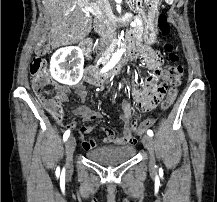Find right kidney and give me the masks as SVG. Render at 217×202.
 Returning a JSON list of instances; mask_svg holds the SVG:
<instances>
[{
  "label": "right kidney",
  "mask_w": 217,
  "mask_h": 202,
  "mask_svg": "<svg viewBox=\"0 0 217 202\" xmlns=\"http://www.w3.org/2000/svg\"><path fill=\"white\" fill-rule=\"evenodd\" d=\"M51 76L67 86H76L83 76L84 56L77 46L60 48L50 62Z\"/></svg>",
  "instance_id": "obj_1"
}]
</instances>
